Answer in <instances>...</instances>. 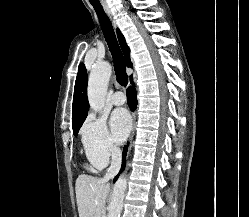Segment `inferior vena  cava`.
<instances>
[{
	"instance_id": "inferior-vena-cava-1",
	"label": "inferior vena cava",
	"mask_w": 249,
	"mask_h": 217,
	"mask_svg": "<svg viewBox=\"0 0 249 217\" xmlns=\"http://www.w3.org/2000/svg\"><path fill=\"white\" fill-rule=\"evenodd\" d=\"M111 153H112V160H111V165L106 173V175L104 176L103 180L107 181L111 178H114L117 173L120 170L121 167V150L120 148H118L115 145L111 146Z\"/></svg>"
}]
</instances>
